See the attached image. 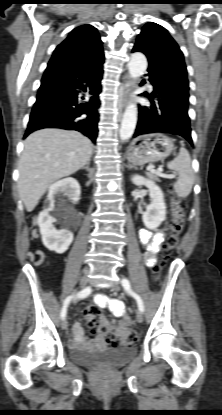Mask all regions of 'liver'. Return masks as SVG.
I'll use <instances>...</instances> for the list:
<instances>
[{"label":"liver","instance_id":"liver-1","mask_svg":"<svg viewBox=\"0 0 222 415\" xmlns=\"http://www.w3.org/2000/svg\"><path fill=\"white\" fill-rule=\"evenodd\" d=\"M92 148L90 139L77 131L42 129L30 134L19 161L18 192L26 210L31 212L55 181L86 165Z\"/></svg>","mask_w":222,"mask_h":415}]
</instances>
